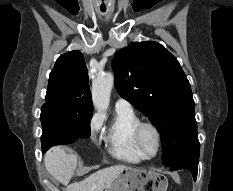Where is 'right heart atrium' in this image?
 <instances>
[{
	"label": "right heart atrium",
	"instance_id": "d8ad5b80",
	"mask_svg": "<svg viewBox=\"0 0 233 191\" xmlns=\"http://www.w3.org/2000/svg\"><path fill=\"white\" fill-rule=\"evenodd\" d=\"M102 126V119L99 115H94L90 121L89 125V131H90V137L94 140L96 138V135L100 131Z\"/></svg>",
	"mask_w": 233,
	"mask_h": 191
}]
</instances>
